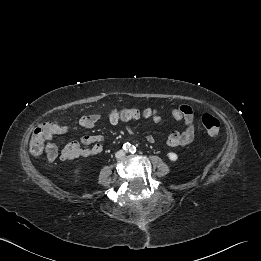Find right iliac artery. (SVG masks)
<instances>
[{"label": "right iliac artery", "instance_id": "1", "mask_svg": "<svg viewBox=\"0 0 261 261\" xmlns=\"http://www.w3.org/2000/svg\"><path fill=\"white\" fill-rule=\"evenodd\" d=\"M129 147V143H127V144H124V146H123V148L126 150V148H128Z\"/></svg>", "mask_w": 261, "mask_h": 261}]
</instances>
